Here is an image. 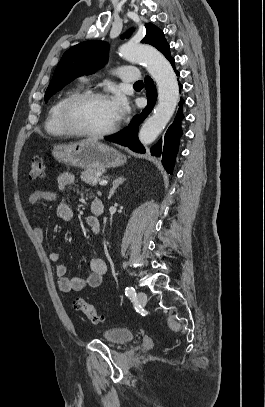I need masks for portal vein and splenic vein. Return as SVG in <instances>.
Returning a JSON list of instances; mask_svg holds the SVG:
<instances>
[{
    "mask_svg": "<svg viewBox=\"0 0 265 407\" xmlns=\"http://www.w3.org/2000/svg\"><path fill=\"white\" fill-rule=\"evenodd\" d=\"M107 183H108V181L104 180V179L99 181L100 185H106Z\"/></svg>",
    "mask_w": 265,
    "mask_h": 407,
    "instance_id": "portal-vein-and-splenic-vein-1",
    "label": "portal vein and splenic vein"
}]
</instances>
